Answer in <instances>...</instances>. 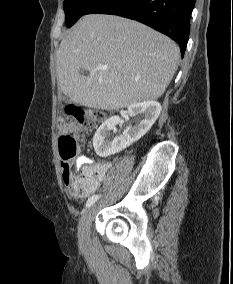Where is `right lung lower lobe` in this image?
Returning a JSON list of instances; mask_svg holds the SVG:
<instances>
[{"label":"right lung lower lobe","mask_w":233,"mask_h":284,"mask_svg":"<svg viewBox=\"0 0 233 284\" xmlns=\"http://www.w3.org/2000/svg\"><path fill=\"white\" fill-rule=\"evenodd\" d=\"M195 0H107L92 13L112 14L144 23L177 41L184 56Z\"/></svg>","instance_id":"right-lung-lower-lobe-1"}]
</instances>
